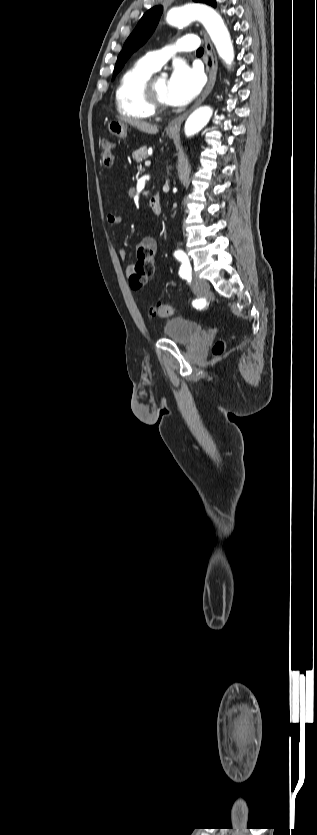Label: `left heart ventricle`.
Listing matches in <instances>:
<instances>
[{
  "label": "left heart ventricle",
  "mask_w": 317,
  "mask_h": 835,
  "mask_svg": "<svg viewBox=\"0 0 317 835\" xmlns=\"http://www.w3.org/2000/svg\"><path fill=\"white\" fill-rule=\"evenodd\" d=\"M167 85H168V80L166 78H162V77H157L156 78V80H155V90H156L159 98L166 103H168V100H167Z\"/></svg>",
  "instance_id": "obj_1"
}]
</instances>
